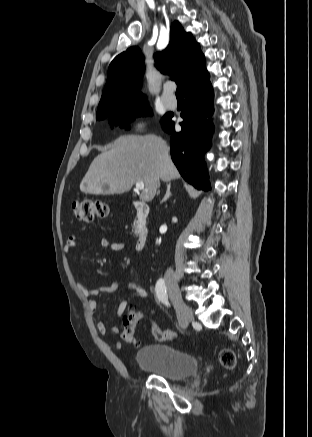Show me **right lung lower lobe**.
I'll list each match as a JSON object with an SVG mask.
<instances>
[{"instance_id": "98d812e1", "label": "right lung lower lobe", "mask_w": 312, "mask_h": 437, "mask_svg": "<svg viewBox=\"0 0 312 437\" xmlns=\"http://www.w3.org/2000/svg\"><path fill=\"white\" fill-rule=\"evenodd\" d=\"M187 107L181 113L184 121L182 130L176 133L171 116L162 127L171 136V157L181 176L197 189L209 190V179L204 154L210 147L213 133L211 119L205 117L213 113V89L209 74L185 90Z\"/></svg>"}]
</instances>
